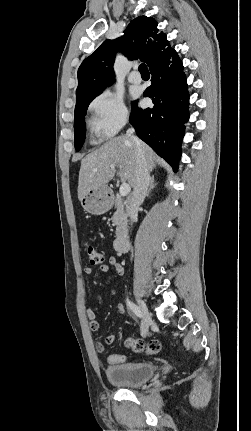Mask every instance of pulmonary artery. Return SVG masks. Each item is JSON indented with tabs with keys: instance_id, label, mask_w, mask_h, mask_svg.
I'll return each mask as SVG.
<instances>
[{
	"instance_id": "pulmonary-artery-1",
	"label": "pulmonary artery",
	"mask_w": 251,
	"mask_h": 431,
	"mask_svg": "<svg viewBox=\"0 0 251 431\" xmlns=\"http://www.w3.org/2000/svg\"><path fill=\"white\" fill-rule=\"evenodd\" d=\"M128 80L131 83L137 84L141 82V76L137 71H132L129 75H128Z\"/></svg>"
}]
</instances>
